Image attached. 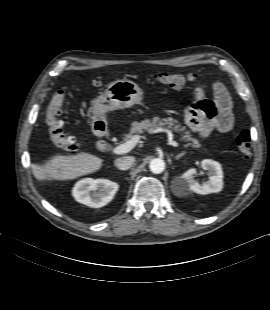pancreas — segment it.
<instances>
[{
    "instance_id": "1",
    "label": "pancreas",
    "mask_w": 270,
    "mask_h": 310,
    "mask_svg": "<svg viewBox=\"0 0 270 310\" xmlns=\"http://www.w3.org/2000/svg\"><path fill=\"white\" fill-rule=\"evenodd\" d=\"M129 135H126L125 139L131 138L134 134H142L144 131H153L155 129L166 127L171 131H175L181 134V140L188 142L185 147H192L195 149L201 148V144L196 138H193L189 131H186V127L182 126L177 120L173 118H159L154 117L152 120L146 119L141 122H133Z\"/></svg>"
}]
</instances>
